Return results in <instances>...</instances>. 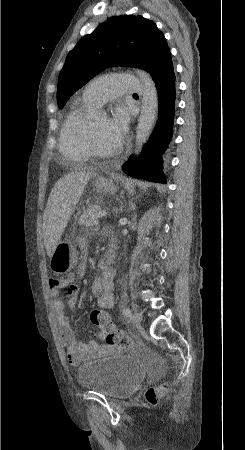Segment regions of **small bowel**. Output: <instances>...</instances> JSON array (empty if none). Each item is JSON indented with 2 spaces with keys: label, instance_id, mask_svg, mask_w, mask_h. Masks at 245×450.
Instances as JSON below:
<instances>
[{
  "label": "small bowel",
  "instance_id": "small-bowel-1",
  "mask_svg": "<svg viewBox=\"0 0 245 450\" xmlns=\"http://www.w3.org/2000/svg\"><path fill=\"white\" fill-rule=\"evenodd\" d=\"M85 238L81 237L79 243H83ZM115 245L110 250V255L113 253ZM84 269L79 268V274H83ZM114 275L115 271L111 267L109 271L103 272L92 285V291L97 298V307L102 310L111 308L114 305ZM73 276L69 275L64 281L58 282L56 279H49L50 294L53 298L52 309L56 315L57 323L60 328V335L63 345L67 352V359L73 366L80 365L83 361L100 353H105L110 350L105 345H99L95 340L87 342H80L77 340L75 332L71 327L70 320L66 315V307L74 308L76 306L77 298L83 294L82 289L72 284ZM65 292L68 296L67 300L61 296ZM100 339L104 338L102 330L98 332Z\"/></svg>",
  "mask_w": 245,
  "mask_h": 450
}]
</instances>
